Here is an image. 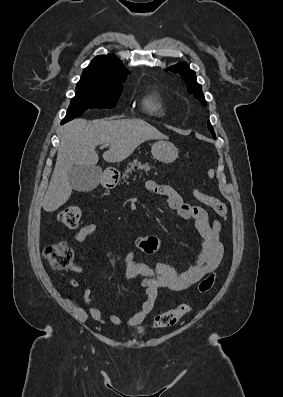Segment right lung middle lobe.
Returning <instances> with one entry per match:
<instances>
[{"label": "right lung middle lobe", "mask_w": 283, "mask_h": 397, "mask_svg": "<svg viewBox=\"0 0 283 397\" xmlns=\"http://www.w3.org/2000/svg\"><path fill=\"white\" fill-rule=\"evenodd\" d=\"M122 81H99L81 78L76 86V95L72 98L62 124L80 116L89 108L115 107L123 90Z\"/></svg>", "instance_id": "right-lung-middle-lobe-1"}]
</instances>
